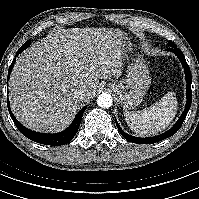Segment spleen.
Returning <instances> with one entry per match:
<instances>
[{"instance_id": "3e777b00", "label": "spleen", "mask_w": 199, "mask_h": 199, "mask_svg": "<svg viewBox=\"0 0 199 199\" xmlns=\"http://www.w3.org/2000/svg\"><path fill=\"white\" fill-rule=\"evenodd\" d=\"M177 113V100L173 92L161 100L137 112L125 110L124 117L130 129L137 135H156L169 126Z\"/></svg>"}]
</instances>
